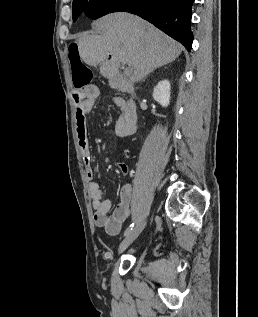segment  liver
Instances as JSON below:
<instances>
[{
    "label": "liver",
    "instance_id": "6515ba94",
    "mask_svg": "<svg viewBox=\"0 0 258 317\" xmlns=\"http://www.w3.org/2000/svg\"><path fill=\"white\" fill-rule=\"evenodd\" d=\"M99 34H83L77 40L80 58L98 66L109 82L117 80L119 64H131L132 82L144 78L154 68L175 60L182 46L153 24L130 12H112L93 20Z\"/></svg>",
    "mask_w": 258,
    "mask_h": 317
}]
</instances>
